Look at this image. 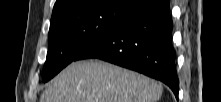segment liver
<instances>
[{"label":"liver","mask_w":221,"mask_h":102,"mask_svg":"<svg viewBox=\"0 0 221 102\" xmlns=\"http://www.w3.org/2000/svg\"><path fill=\"white\" fill-rule=\"evenodd\" d=\"M162 85L101 60L78 61L60 72L39 102H157Z\"/></svg>","instance_id":"liver-1"}]
</instances>
